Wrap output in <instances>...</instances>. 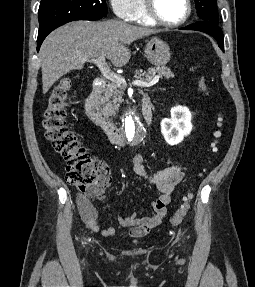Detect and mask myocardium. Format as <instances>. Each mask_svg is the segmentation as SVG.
I'll list each match as a JSON object with an SVG mask.
<instances>
[{"label": "myocardium", "instance_id": "obj_1", "mask_svg": "<svg viewBox=\"0 0 255 287\" xmlns=\"http://www.w3.org/2000/svg\"><path fill=\"white\" fill-rule=\"evenodd\" d=\"M158 23H166V22L158 21ZM153 33H170V32H153ZM154 39H168V38H154ZM151 48H153V47H151Z\"/></svg>", "mask_w": 255, "mask_h": 287}]
</instances>
